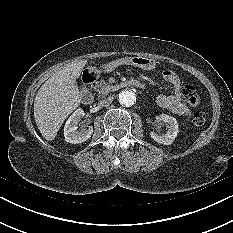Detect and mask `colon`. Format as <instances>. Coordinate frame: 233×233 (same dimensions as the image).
Masks as SVG:
<instances>
[{
  "mask_svg": "<svg viewBox=\"0 0 233 233\" xmlns=\"http://www.w3.org/2000/svg\"><path fill=\"white\" fill-rule=\"evenodd\" d=\"M183 96L185 101L191 106V107H197L199 106L201 102L200 94L198 93L195 86L189 84L186 85L183 89ZM205 114L202 110H195L192 116V122L195 126H203L205 123Z\"/></svg>",
  "mask_w": 233,
  "mask_h": 233,
  "instance_id": "1",
  "label": "colon"
}]
</instances>
